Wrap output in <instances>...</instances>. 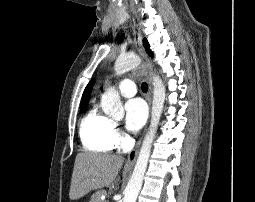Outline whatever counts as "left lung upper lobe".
Returning a JSON list of instances; mask_svg holds the SVG:
<instances>
[{"instance_id": "1", "label": "left lung upper lobe", "mask_w": 255, "mask_h": 202, "mask_svg": "<svg viewBox=\"0 0 255 202\" xmlns=\"http://www.w3.org/2000/svg\"><path fill=\"white\" fill-rule=\"evenodd\" d=\"M143 44H144V47H145L146 51L148 52V54L150 56H153L151 50L149 49V43H148V41L146 39H143Z\"/></svg>"}]
</instances>
